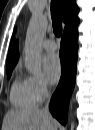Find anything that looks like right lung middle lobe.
Segmentation results:
<instances>
[{
	"mask_svg": "<svg viewBox=\"0 0 95 130\" xmlns=\"http://www.w3.org/2000/svg\"><path fill=\"white\" fill-rule=\"evenodd\" d=\"M11 73H12V69L7 70V76H8V78L11 76Z\"/></svg>",
	"mask_w": 95,
	"mask_h": 130,
	"instance_id": "obj_1",
	"label": "right lung middle lobe"
}]
</instances>
